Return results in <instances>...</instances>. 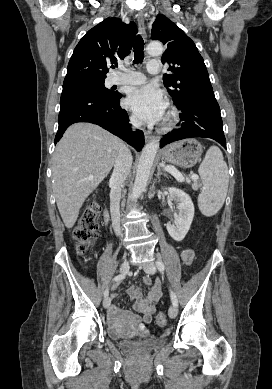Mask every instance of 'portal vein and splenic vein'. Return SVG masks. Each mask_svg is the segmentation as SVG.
Masks as SVG:
<instances>
[{
    "label": "portal vein and splenic vein",
    "instance_id": "obj_1",
    "mask_svg": "<svg viewBox=\"0 0 272 389\" xmlns=\"http://www.w3.org/2000/svg\"><path fill=\"white\" fill-rule=\"evenodd\" d=\"M164 169L167 172L171 173L176 178L177 181H179V182H184L185 181L184 176L175 167H173V166H165ZM191 179L193 181H196V180L199 179V177H198V175H192Z\"/></svg>",
    "mask_w": 272,
    "mask_h": 389
}]
</instances>
